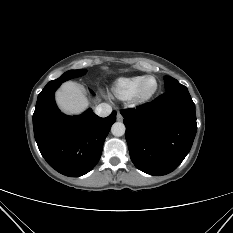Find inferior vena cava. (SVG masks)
Instances as JSON below:
<instances>
[{
    "label": "inferior vena cava",
    "instance_id": "inferior-vena-cava-1",
    "mask_svg": "<svg viewBox=\"0 0 233 233\" xmlns=\"http://www.w3.org/2000/svg\"><path fill=\"white\" fill-rule=\"evenodd\" d=\"M112 107L109 104L101 103L95 108V114L100 117H107L111 114Z\"/></svg>",
    "mask_w": 233,
    "mask_h": 233
}]
</instances>
